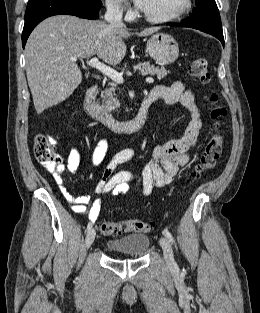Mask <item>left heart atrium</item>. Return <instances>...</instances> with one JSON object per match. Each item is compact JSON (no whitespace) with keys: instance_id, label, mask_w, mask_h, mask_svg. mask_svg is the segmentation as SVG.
Returning a JSON list of instances; mask_svg holds the SVG:
<instances>
[{"instance_id":"left-heart-atrium-1","label":"left heart atrium","mask_w":260,"mask_h":313,"mask_svg":"<svg viewBox=\"0 0 260 313\" xmlns=\"http://www.w3.org/2000/svg\"><path fill=\"white\" fill-rule=\"evenodd\" d=\"M136 4L139 5L141 7L143 0H135Z\"/></svg>"}]
</instances>
